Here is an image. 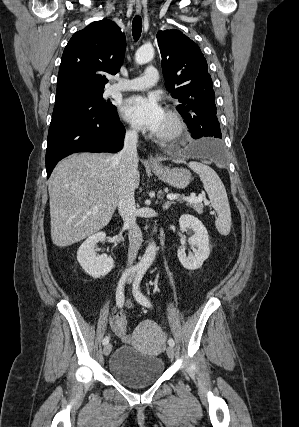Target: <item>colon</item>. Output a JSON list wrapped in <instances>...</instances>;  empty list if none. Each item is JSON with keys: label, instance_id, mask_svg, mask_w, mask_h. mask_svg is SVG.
<instances>
[{"label": "colon", "instance_id": "obj_1", "mask_svg": "<svg viewBox=\"0 0 299 427\" xmlns=\"http://www.w3.org/2000/svg\"><path fill=\"white\" fill-rule=\"evenodd\" d=\"M116 327H117L118 333L125 334V335L128 333L126 330V320H125L124 316L120 317L117 320Z\"/></svg>", "mask_w": 299, "mask_h": 427}]
</instances>
